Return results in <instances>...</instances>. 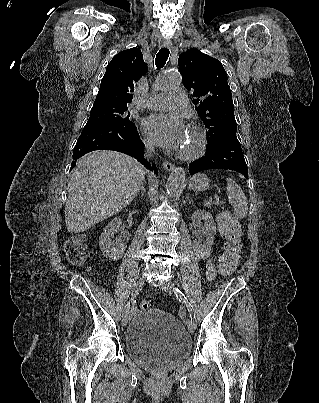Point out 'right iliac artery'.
<instances>
[{"mask_svg": "<svg viewBox=\"0 0 319 403\" xmlns=\"http://www.w3.org/2000/svg\"><path fill=\"white\" fill-rule=\"evenodd\" d=\"M129 309H130V302H128V303L126 304L123 313L129 311Z\"/></svg>", "mask_w": 319, "mask_h": 403, "instance_id": "right-iliac-artery-1", "label": "right iliac artery"}]
</instances>
